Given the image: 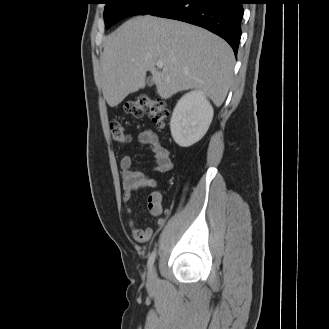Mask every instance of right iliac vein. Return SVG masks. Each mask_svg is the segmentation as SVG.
<instances>
[{"mask_svg": "<svg viewBox=\"0 0 329 329\" xmlns=\"http://www.w3.org/2000/svg\"><path fill=\"white\" fill-rule=\"evenodd\" d=\"M157 281V275L155 269H151L149 274H148V284L149 285H155Z\"/></svg>", "mask_w": 329, "mask_h": 329, "instance_id": "63e3f726", "label": "right iliac vein"}]
</instances>
